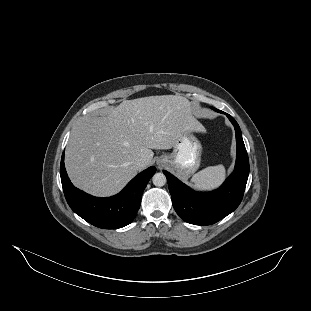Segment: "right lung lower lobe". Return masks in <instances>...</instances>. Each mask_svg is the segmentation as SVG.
<instances>
[{
  "label": "right lung lower lobe",
  "instance_id": "obj_1",
  "mask_svg": "<svg viewBox=\"0 0 311 311\" xmlns=\"http://www.w3.org/2000/svg\"><path fill=\"white\" fill-rule=\"evenodd\" d=\"M155 171L154 166L149 167L134 177L119 194L98 198L71 183L65 170L64 153L60 164L62 187L69 206L81 218L103 229H117L132 222L140 207L143 191Z\"/></svg>",
  "mask_w": 311,
  "mask_h": 311
}]
</instances>
